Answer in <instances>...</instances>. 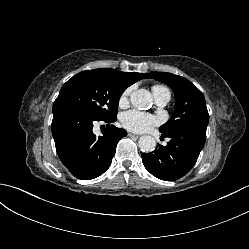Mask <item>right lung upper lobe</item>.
Segmentation results:
<instances>
[{"label":"right lung upper lobe","mask_w":249,"mask_h":249,"mask_svg":"<svg viewBox=\"0 0 249 249\" xmlns=\"http://www.w3.org/2000/svg\"><path fill=\"white\" fill-rule=\"evenodd\" d=\"M103 70L111 73L126 88L134 84L135 82L143 79L146 75V73L121 72L110 68H104Z\"/></svg>","instance_id":"cb5924a9"}]
</instances>
